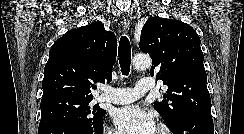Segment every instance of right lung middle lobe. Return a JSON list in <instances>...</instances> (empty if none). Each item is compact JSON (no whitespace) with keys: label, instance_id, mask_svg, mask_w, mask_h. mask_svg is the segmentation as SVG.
Returning a JSON list of instances; mask_svg holds the SVG:
<instances>
[{"label":"right lung middle lobe","instance_id":"right-lung-middle-lobe-1","mask_svg":"<svg viewBox=\"0 0 244 134\" xmlns=\"http://www.w3.org/2000/svg\"><path fill=\"white\" fill-rule=\"evenodd\" d=\"M92 100L74 97H54L41 101V120L38 134L60 124L95 125L102 121L106 111L98 105L91 106Z\"/></svg>","mask_w":244,"mask_h":134}]
</instances>
